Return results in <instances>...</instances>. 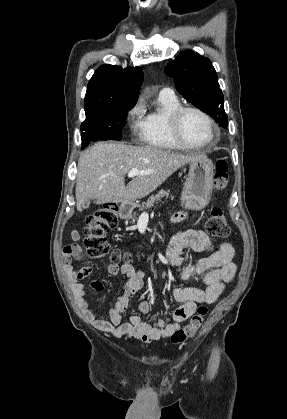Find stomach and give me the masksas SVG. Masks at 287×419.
<instances>
[{"label": "stomach", "instance_id": "0dacf381", "mask_svg": "<svg viewBox=\"0 0 287 419\" xmlns=\"http://www.w3.org/2000/svg\"><path fill=\"white\" fill-rule=\"evenodd\" d=\"M214 164L208 158L191 162L189 174L184 183L181 200L190 210H201L210 201L213 189ZM135 205L124 203L120 206L119 216L122 219H133Z\"/></svg>", "mask_w": 287, "mask_h": 419}]
</instances>
